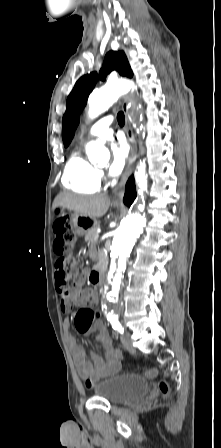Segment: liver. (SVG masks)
I'll return each mask as SVG.
<instances>
[{"label": "liver", "mask_w": 221, "mask_h": 448, "mask_svg": "<svg viewBox=\"0 0 221 448\" xmlns=\"http://www.w3.org/2000/svg\"><path fill=\"white\" fill-rule=\"evenodd\" d=\"M110 206V199L105 195L77 196L60 193L54 200L53 209L66 208L91 219L102 217Z\"/></svg>", "instance_id": "liver-1"}]
</instances>
